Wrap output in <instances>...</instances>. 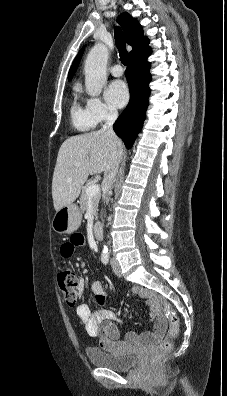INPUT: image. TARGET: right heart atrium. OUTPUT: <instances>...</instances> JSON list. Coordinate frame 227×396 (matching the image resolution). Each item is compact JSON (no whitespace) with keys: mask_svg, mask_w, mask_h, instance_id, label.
I'll list each match as a JSON object with an SVG mask.
<instances>
[{"mask_svg":"<svg viewBox=\"0 0 227 396\" xmlns=\"http://www.w3.org/2000/svg\"><path fill=\"white\" fill-rule=\"evenodd\" d=\"M85 108L87 114L95 124L111 121L117 115L113 107L107 105L97 97L87 98Z\"/></svg>","mask_w":227,"mask_h":396,"instance_id":"1","label":"right heart atrium"}]
</instances>
